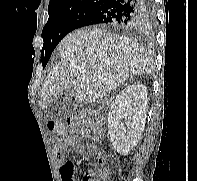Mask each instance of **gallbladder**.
Wrapping results in <instances>:
<instances>
[{
    "label": "gallbladder",
    "mask_w": 197,
    "mask_h": 181,
    "mask_svg": "<svg viewBox=\"0 0 197 181\" xmlns=\"http://www.w3.org/2000/svg\"><path fill=\"white\" fill-rule=\"evenodd\" d=\"M73 92H74L73 88L71 87L65 89L60 96L52 100L48 108L52 111H59V112L66 111V109H69L74 105L72 101Z\"/></svg>",
    "instance_id": "gallbladder-1"
}]
</instances>
